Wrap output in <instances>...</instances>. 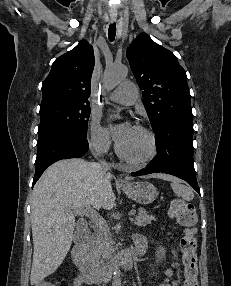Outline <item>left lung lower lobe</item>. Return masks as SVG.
Segmentation results:
<instances>
[{"label":"left lung lower lobe","instance_id":"left-lung-lower-lobe-1","mask_svg":"<svg viewBox=\"0 0 231 286\" xmlns=\"http://www.w3.org/2000/svg\"><path fill=\"white\" fill-rule=\"evenodd\" d=\"M157 156L133 176L167 173L188 182L199 194L193 164V124L189 119H170L155 132Z\"/></svg>","mask_w":231,"mask_h":286}]
</instances>
